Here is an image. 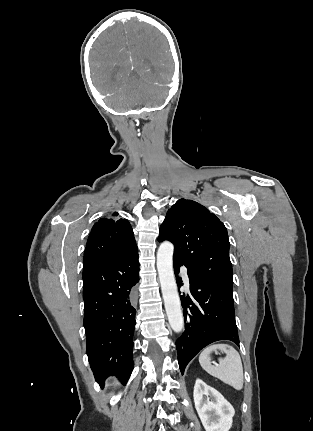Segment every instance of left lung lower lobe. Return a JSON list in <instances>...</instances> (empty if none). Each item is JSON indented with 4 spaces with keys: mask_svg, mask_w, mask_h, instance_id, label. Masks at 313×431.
Masks as SVG:
<instances>
[{
    "mask_svg": "<svg viewBox=\"0 0 313 431\" xmlns=\"http://www.w3.org/2000/svg\"><path fill=\"white\" fill-rule=\"evenodd\" d=\"M182 265L174 259L176 276ZM188 277L191 297L181 296L185 331L176 341L178 363L182 374L190 360L210 343L231 340L239 345L232 290L196 279L189 271ZM180 283L181 278L179 282L177 281L179 288Z\"/></svg>",
    "mask_w": 313,
    "mask_h": 431,
    "instance_id": "1",
    "label": "left lung lower lobe"
}]
</instances>
